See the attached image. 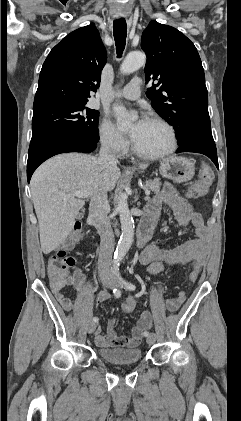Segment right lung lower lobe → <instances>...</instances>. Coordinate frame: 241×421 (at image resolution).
I'll return each mask as SVG.
<instances>
[{"label": "right lung lower lobe", "mask_w": 241, "mask_h": 421, "mask_svg": "<svg viewBox=\"0 0 241 421\" xmlns=\"http://www.w3.org/2000/svg\"><path fill=\"white\" fill-rule=\"evenodd\" d=\"M96 147L97 142L79 135L66 133L47 134L31 139L27 162L28 182L35 169L48 158L66 152L89 153L94 151Z\"/></svg>", "instance_id": "98d812e1"}]
</instances>
